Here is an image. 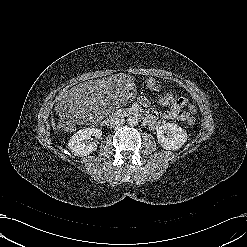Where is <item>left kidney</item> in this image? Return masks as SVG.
I'll return each mask as SVG.
<instances>
[{"mask_svg":"<svg viewBox=\"0 0 247 247\" xmlns=\"http://www.w3.org/2000/svg\"><path fill=\"white\" fill-rule=\"evenodd\" d=\"M157 139L164 149L178 150L187 141L188 136L177 124L165 123L157 129Z\"/></svg>","mask_w":247,"mask_h":247,"instance_id":"5707ae66","label":"left kidney"}]
</instances>
